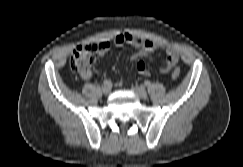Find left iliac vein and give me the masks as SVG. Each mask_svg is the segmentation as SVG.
Instances as JSON below:
<instances>
[{"label": "left iliac vein", "instance_id": "4c4485c4", "mask_svg": "<svg viewBox=\"0 0 243 167\" xmlns=\"http://www.w3.org/2000/svg\"><path fill=\"white\" fill-rule=\"evenodd\" d=\"M132 90L140 98H146L148 95L145 88H143L141 86H134V87H132Z\"/></svg>", "mask_w": 243, "mask_h": 167}]
</instances>
